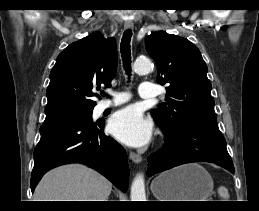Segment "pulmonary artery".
Wrapping results in <instances>:
<instances>
[{"label": "pulmonary artery", "instance_id": "1", "mask_svg": "<svg viewBox=\"0 0 259 211\" xmlns=\"http://www.w3.org/2000/svg\"><path fill=\"white\" fill-rule=\"evenodd\" d=\"M139 95L141 98L153 99L158 96L156 86L150 82H142L139 87ZM129 100V96L123 92H112L111 99L100 102L97 107L98 112L121 105Z\"/></svg>", "mask_w": 259, "mask_h": 211}]
</instances>
